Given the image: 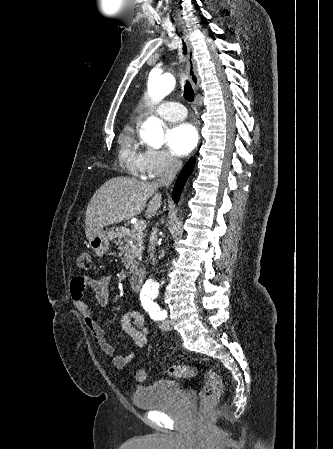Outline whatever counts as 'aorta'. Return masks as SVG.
Segmentation results:
<instances>
[{
  "instance_id": "1",
  "label": "aorta",
  "mask_w": 333,
  "mask_h": 449,
  "mask_svg": "<svg viewBox=\"0 0 333 449\" xmlns=\"http://www.w3.org/2000/svg\"><path fill=\"white\" fill-rule=\"evenodd\" d=\"M175 79L171 73H164L156 68L152 69L148 80V95L152 100L160 101L166 97L174 88ZM140 137L150 146L160 148L164 143V132L161 120L151 117L140 130ZM158 289L155 281L148 280L144 285L142 293L151 294Z\"/></svg>"
}]
</instances>
